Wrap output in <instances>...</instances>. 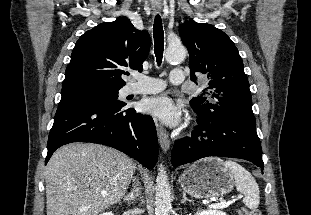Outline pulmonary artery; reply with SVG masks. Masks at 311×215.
<instances>
[{
    "label": "pulmonary artery",
    "instance_id": "obj_1",
    "mask_svg": "<svg viewBox=\"0 0 311 215\" xmlns=\"http://www.w3.org/2000/svg\"><path fill=\"white\" fill-rule=\"evenodd\" d=\"M136 79H138V82L128 88V92L131 94H155L162 91L166 86L164 81L149 76L138 75ZM169 80L176 85L183 83L185 80L184 70L174 68L170 73Z\"/></svg>",
    "mask_w": 311,
    "mask_h": 215
}]
</instances>
